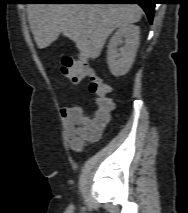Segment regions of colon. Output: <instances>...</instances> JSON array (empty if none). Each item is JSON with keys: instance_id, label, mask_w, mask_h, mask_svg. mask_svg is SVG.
Masks as SVG:
<instances>
[{"instance_id": "1", "label": "colon", "mask_w": 188, "mask_h": 213, "mask_svg": "<svg viewBox=\"0 0 188 213\" xmlns=\"http://www.w3.org/2000/svg\"><path fill=\"white\" fill-rule=\"evenodd\" d=\"M60 70L73 84H78L84 76L90 77V90L95 94L99 106V113L95 120L102 124L108 122L110 113L115 109V104L109 97L111 88L89 66L86 57L84 55L77 58L64 57L61 61ZM75 133V130H71L69 135L73 136Z\"/></svg>"}]
</instances>
